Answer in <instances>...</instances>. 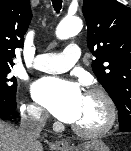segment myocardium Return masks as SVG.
<instances>
[{
    "label": "myocardium",
    "mask_w": 131,
    "mask_h": 151,
    "mask_svg": "<svg viewBox=\"0 0 131 151\" xmlns=\"http://www.w3.org/2000/svg\"><path fill=\"white\" fill-rule=\"evenodd\" d=\"M86 96L96 97L100 99L106 110V118L102 125L95 128H83L73 124L72 130L82 137H98L109 132L115 125L117 120V108L112 97L103 89L94 87L86 92Z\"/></svg>",
    "instance_id": "1"
}]
</instances>
